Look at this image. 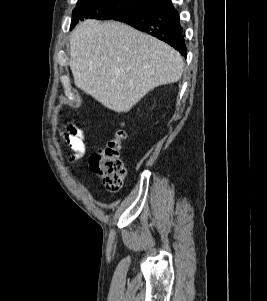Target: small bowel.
Listing matches in <instances>:
<instances>
[{"mask_svg":"<svg viewBox=\"0 0 267 301\" xmlns=\"http://www.w3.org/2000/svg\"><path fill=\"white\" fill-rule=\"evenodd\" d=\"M64 138L73 152L70 160L75 161L81 158L85 152L84 131L74 125H70L68 126L67 131L64 132Z\"/></svg>","mask_w":267,"mask_h":301,"instance_id":"obj_1","label":"small bowel"}]
</instances>
